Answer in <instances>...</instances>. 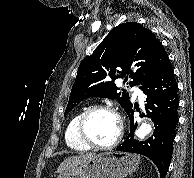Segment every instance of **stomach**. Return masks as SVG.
I'll return each mask as SVG.
<instances>
[{"label":"stomach","instance_id":"0dacf381","mask_svg":"<svg viewBox=\"0 0 194 178\" xmlns=\"http://www.w3.org/2000/svg\"><path fill=\"white\" fill-rule=\"evenodd\" d=\"M138 165L137 155L105 152L60 173L57 178H124Z\"/></svg>","mask_w":194,"mask_h":178}]
</instances>
